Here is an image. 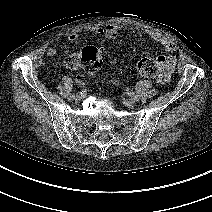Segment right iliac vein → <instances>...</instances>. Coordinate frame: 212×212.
Here are the masks:
<instances>
[{
  "mask_svg": "<svg viewBox=\"0 0 212 212\" xmlns=\"http://www.w3.org/2000/svg\"><path fill=\"white\" fill-rule=\"evenodd\" d=\"M81 99H82V95L80 93H77L74 97V100L77 102L80 101Z\"/></svg>",
  "mask_w": 212,
  "mask_h": 212,
  "instance_id": "63e3f726",
  "label": "right iliac vein"
}]
</instances>
